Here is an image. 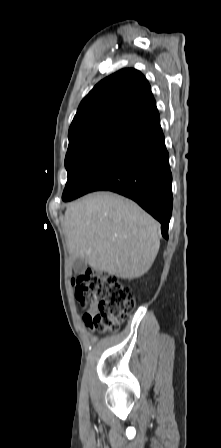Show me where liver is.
<instances>
[{"mask_svg": "<svg viewBox=\"0 0 221 448\" xmlns=\"http://www.w3.org/2000/svg\"><path fill=\"white\" fill-rule=\"evenodd\" d=\"M63 228L72 260L122 279H134L152 266L160 247V225L133 201L95 192L65 212Z\"/></svg>", "mask_w": 221, "mask_h": 448, "instance_id": "1", "label": "liver"}]
</instances>
